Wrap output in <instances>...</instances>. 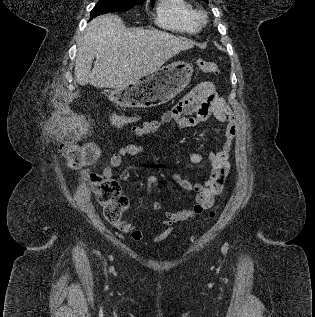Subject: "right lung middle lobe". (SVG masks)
<instances>
[{"label":"right lung middle lobe","mask_w":315,"mask_h":317,"mask_svg":"<svg viewBox=\"0 0 315 317\" xmlns=\"http://www.w3.org/2000/svg\"><path fill=\"white\" fill-rule=\"evenodd\" d=\"M144 1L145 0H99L91 11V18L113 11L125 12Z\"/></svg>","instance_id":"right-lung-middle-lobe-1"}]
</instances>
